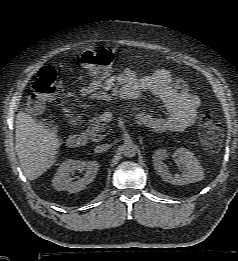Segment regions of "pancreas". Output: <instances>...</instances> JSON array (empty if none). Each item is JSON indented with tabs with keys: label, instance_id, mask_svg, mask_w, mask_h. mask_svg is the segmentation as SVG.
<instances>
[{
	"label": "pancreas",
	"instance_id": "pancreas-1",
	"mask_svg": "<svg viewBox=\"0 0 238 261\" xmlns=\"http://www.w3.org/2000/svg\"><path fill=\"white\" fill-rule=\"evenodd\" d=\"M109 125L103 122L101 116L97 114L95 117H92L90 120V124L86 129V133L89 135L90 139L93 141H100L104 138L102 133L106 132V128Z\"/></svg>",
	"mask_w": 238,
	"mask_h": 261
}]
</instances>
